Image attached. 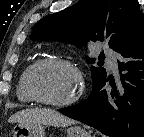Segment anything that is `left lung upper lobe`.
I'll use <instances>...</instances> for the list:
<instances>
[{
	"label": "left lung upper lobe",
	"instance_id": "5c2ea615",
	"mask_svg": "<svg viewBox=\"0 0 144 137\" xmlns=\"http://www.w3.org/2000/svg\"><path fill=\"white\" fill-rule=\"evenodd\" d=\"M144 14L137 0H80L58 13L49 14L32 29L33 40L62 41L82 47L88 41H107L118 52L139 31ZM94 63L93 58H86ZM93 87L106 70L91 66Z\"/></svg>",
	"mask_w": 144,
	"mask_h": 137
}]
</instances>
